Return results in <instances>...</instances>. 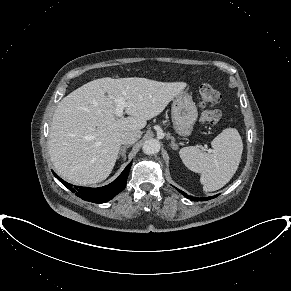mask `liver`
I'll use <instances>...</instances> for the list:
<instances>
[{"label":"liver","mask_w":291,"mask_h":291,"mask_svg":"<svg viewBox=\"0 0 291 291\" xmlns=\"http://www.w3.org/2000/svg\"><path fill=\"white\" fill-rule=\"evenodd\" d=\"M186 87L184 82L146 78H100L64 97L51 122L48 148L57 174L77 185H91L111 173L121 135L141 130ZM115 97L128 103V117L115 114Z\"/></svg>","instance_id":"liver-1"}]
</instances>
